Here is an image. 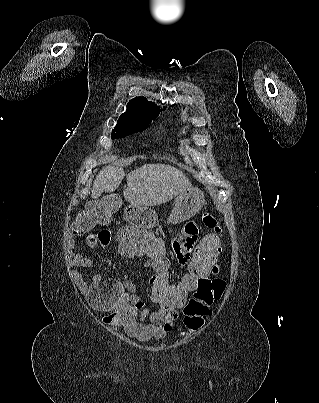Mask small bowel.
<instances>
[{
	"mask_svg": "<svg viewBox=\"0 0 319 403\" xmlns=\"http://www.w3.org/2000/svg\"><path fill=\"white\" fill-rule=\"evenodd\" d=\"M199 231V224L188 222L183 233L178 234L173 240L172 251L177 257L176 260L180 267H186V264L191 262L190 250L197 242ZM79 235L81 234L75 231L74 236ZM113 235V229H92L90 235H86L85 247L86 249H105L106 246H109V238H113ZM207 238H212V236ZM69 260L73 267L70 270L71 276L82 292L86 294L89 308L100 309L101 315H104V324L107 329H114L115 334H120L122 329L128 336L138 341L161 340L172 330L178 313H156V310H151L138 296L136 284L132 280L125 279L121 285L120 279H102V275L97 273L88 282L75 268H89L91 262L73 251L72 246L69 247ZM210 274L214 276L216 283L223 281L221 265H212ZM149 284L151 286V277ZM201 289V284H198L191 296L198 297ZM138 311L140 313L137 317ZM177 334L176 331V336Z\"/></svg>",
	"mask_w": 319,
	"mask_h": 403,
	"instance_id": "small-bowel-1",
	"label": "small bowel"
}]
</instances>
